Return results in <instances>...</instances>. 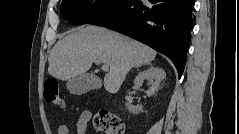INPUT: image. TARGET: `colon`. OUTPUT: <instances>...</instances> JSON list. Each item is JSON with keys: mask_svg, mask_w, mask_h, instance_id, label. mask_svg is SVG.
Listing matches in <instances>:
<instances>
[{"mask_svg": "<svg viewBox=\"0 0 239 134\" xmlns=\"http://www.w3.org/2000/svg\"><path fill=\"white\" fill-rule=\"evenodd\" d=\"M44 99L52 106L64 108L65 103L56 79L47 78L45 80ZM93 126L104 134H123L125 129L122 120L117 115L105 110L94 115Z\"/></svg>", "mask_w": 239, "mask_h": 134, "instance_id": "5ec220e1", "label": "colon"}]
</instances>
